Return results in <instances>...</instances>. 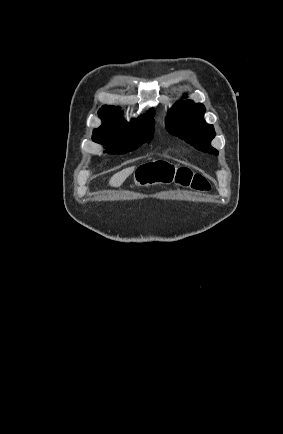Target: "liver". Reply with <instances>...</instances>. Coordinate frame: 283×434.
<instances>
[{
  "label": "liver",
  "mask_w": 283,
  "mask_h": 434,
  "mask_svg": "<svg viewBox=\"0 0 283 434\" xmlns=\"http://www.w3.org/2000/svg\"><path fill=\"white\" fill-rule=\"evenodd\" d=\"M135 170V166L125 168L117 173H115L110 181L109 185L113 187H119L127 179V177Z\"/></svg>",
  "instance_id": "obj_1"
}]
</instances>
